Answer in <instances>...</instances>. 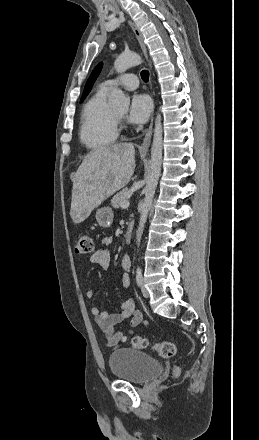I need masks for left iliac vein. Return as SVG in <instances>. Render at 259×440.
Instances as JSON below:
<instances>
[{
  "instance_id": "4c4485c4",
  "label": "left iliac vein",
  "mask_w": 259,
  "mask_h": 440,
  "mask_svg": "<svg viewBox=\"0 0 259 440\" xmlns=\"http://www.w3.org/2000/svg\"><path fill=\"white\" fill-rule=\"evenodd\" d=\"M141 292L145 298H149L150 293H149L148 289L144 286L143 283H141Z\"/></svg>"
}]
</instances>
